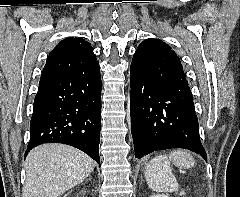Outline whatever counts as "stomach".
I'll return each instance as SVG.
<instances>
[{
  "label": "stomach",
  "mask_w": 240,
  "mask_h": 197,
  "mask_svg": "<svg viewBox=\"0 0 240 197\" xmlns=\"http://www.w3.org/2000/svg\"><path fill=\"white\" fill-rule=\"evenodd\" d=\"M176 164L184 168H189L193 165V161H180L177 162Z\"/></svg>",
  "instance_id": "1"
}]
</instances>
